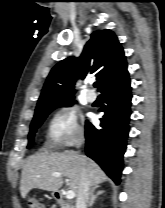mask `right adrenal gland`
<instances>
[{
	"mask_svg": "<svg viewBox=\"0 0 165 208\" xmlns=\"http://www.w3.org/2000/svg\"><path fill=\"white\" fill-rule=\"evenodd\" d=\"M97 188L98 187H92L91 190H90V199H89V202H88L89 207L93 206L94 202L96 201V199L98 198L99 195H102L103 193H105V190H100V191H97L95 193V190Z\"/></svg>",
	"mask_w": 165,
	"mask_h": 208,
	"instance_id": "1",
	"label": "right adrenal gland"
}]
</instances>
